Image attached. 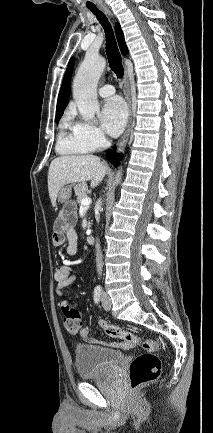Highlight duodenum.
Instances as JSON below:
<instances>
[{"instance_id": "410a0bca", "label": "duodenum", "mask_w": 213, "mask_h": 433, "mask_svg": "<svg viewBox=\"0 0 213 433\" xmlns=\"http://www.w3.org/2000/svg\"><path fill=\"white\" fill-rule=\"evenodd\" d=\"M87 242H88L90 245H93V244L95 243V238H94V236L89 235V236L87 237Z\"/></svg>"}]
</instances>
